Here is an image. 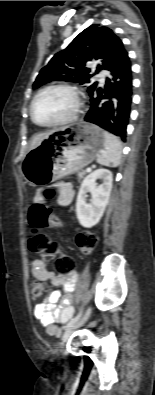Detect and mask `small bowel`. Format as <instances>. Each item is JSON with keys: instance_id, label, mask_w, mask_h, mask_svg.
Segmentation results:
<instances>
[{"instance_id": "1", "label": "small bowel", "mask_w": 155, "mask_h": 395, "mask_svg": "<svg viewBox=\"0 0 155 395\" xmlns=\"http://www.w3.org/2000/svg\"><path fill=\"white\" fill-rule=\"evenodd\" d=\"M60 195L59 203L68 204L73 196V190L69 184H59ZM51 222L55 226H62V222L55 218H51ZM33 276L40 280L51 283L54 286L62 287L61 290L50 291L34 308V316L40 323L46 327L47 333L50 335H59L60 331L55 323L67 322L73 314V308L70 306L72 300V291L74 290L78 275L75 272H69L68 275H59V273L51 271L47 268L46 263L41 258H33L31 262ZM62 299V304L57 302Z\"/></svg>"}]
</instances>
